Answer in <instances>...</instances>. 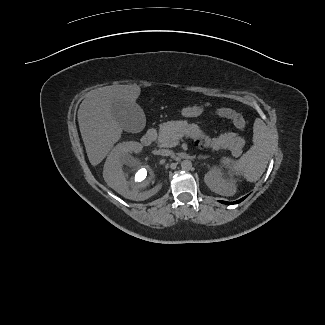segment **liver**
<instances>
[{
  "instance_id": "6515ba94",
  "label": "liver",
  "mask_w": 325,
  "mask_h": 325,
  "mask_svg": "<svg viewBox=\"0 0 325 325\" xmlns=\"http://www.w3.org/2000/svg\"><path fill=\"white\" fill-rule=\"evenodd\" d=\"M141 89L138 85L105 86L90 91L78 109V124L91 165L102 162L122 135L111 106L114 102L136 103ZM139 150L141 145L134 144Z\"/></svg>"
}]
</instances>
